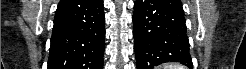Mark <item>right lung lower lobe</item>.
I'll list each match as a JSON object with an SVG mask.
<instances>
[{
    "instance_id": "obj_1",
    "label": "right lung lower lobe",
    "mask_w": 246,
    "mask_h": 69,
    "mask_svg": "<svg viewBox=\"0 0 246 69\" xmlns=\"http://www.w3.org/2000/svg\"><path fill=\"white\" fill-rule=\"evenodd\" d=\"M104 21L102 0H61L48 69H103Z\"/></svg>"
}]
</instances>
